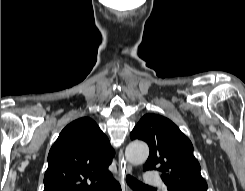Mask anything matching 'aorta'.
<instances>
[{"mask_svg": "<svg viewBox=\"0 0 245 191\" xmlns=\"http://www.w3.org/2000/svg\"><path fill=\"white\" fill-rule=\"evenodd\" d=\"M149 155V147L145 142L133 141L128 144L125 150L126 159L134 165L144 163Z\"/></svg>", "mask_w": 245, "mask_h": 191, "instance_id": "obj_1", "label": "aorta"}]
</instances>
